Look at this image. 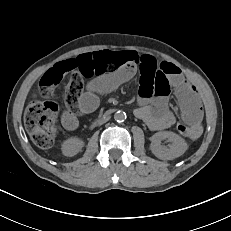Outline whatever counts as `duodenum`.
<instances>
[{
  "label": "duodenum",
  "mask_w": 231,
  "mask_h": 231,
  "mask_svg": "<svg viewBox=\"0 0 231 231\" xmlns=\"http://www.w3.org/2000/svg\"><path fill=\"white\" fill-rule=\"evenodd\" d=\"M113 112H114V109H113V108H109V109H107V110L104 112L103 117L109 116V115H111ZM96 123H97V122L94 121V122L92 123V125H95Z\"/></svg>",
  "instance_id": "410a0bca"
}]
</instances>
